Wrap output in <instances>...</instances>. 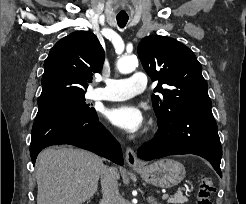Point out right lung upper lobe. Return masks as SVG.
Here are the masks:
<instances>
[{
	"label": "right lung upper lobe",
	"mask_w": 246,
	"mask_h": 204,
	"mask_svg": "<svg viewBox=\"0 0 246 204\" xmlns=\"http://www.w3.org/2000/svg\"><path fill=\"white\" fill-rule=\"evenodd\" d=\"M104 59V50L93 33L77 31L64 37L44 62L43 90L38 101L85 92L94 73L101 72Z\"/></svg>",
	"instance_id": "1"
}]
</instances>
